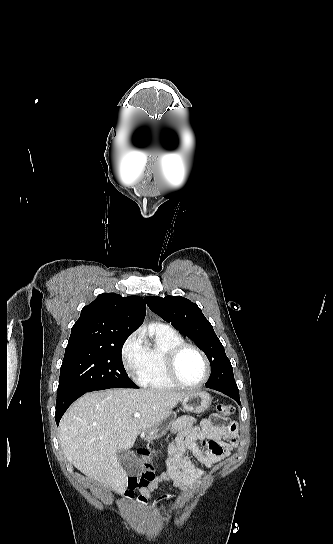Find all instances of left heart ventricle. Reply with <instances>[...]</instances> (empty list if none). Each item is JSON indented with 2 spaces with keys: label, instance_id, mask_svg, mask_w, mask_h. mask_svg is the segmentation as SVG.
Wrapping results in <instances>:
<instances>
[{
  "label": "left heart ventricle",
  "instance_id": "left-heart-ventricle-1",
  "mask_svg": "<svg viewBox=\"0 0 333 544\" xmlns=\"http://www.w3.org/2000/svg\"><path fill=\"white\" fill-rule=\"evenodd\" d=\"M178 373L180 378L186 383H199L203 380L206 373L203 359L195 351H186L179 359Z\"/></svg>",
  "mask_w": 333,
  "mask_h": 544
}]
</instances>
